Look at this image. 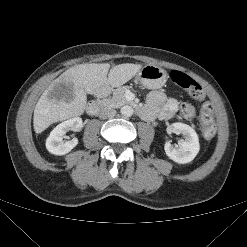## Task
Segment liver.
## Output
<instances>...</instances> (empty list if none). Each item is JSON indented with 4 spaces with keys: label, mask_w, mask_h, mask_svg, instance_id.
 <instances>
[{
    "label": "liver",
    "mask_w": 247,
    "mask_h": 247,
    "mask_svg": "<svg viewBox=\"0 0 247 247\" xmlns=\"http://www.w3.org/2000/svg\"><path fill=\"white\" fill-rule=\"evenodd\" d=\"M141 64L124 63L110 69L109 63H85L71 67L55 79L39 98L33 116L36 133L51 124L83 114L86 94L104 86L120 87L141 70ZM108 75V77H107Z\"/></svg>",
    "instance_id": "6515ba94"
}]
</instances>
